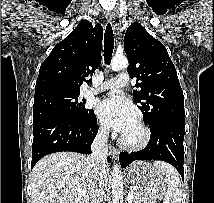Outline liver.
Listing matches in <instances>:
<instances>
[{"mask_svg":"<svg viewBox=\"0 0 214 203\" xmlns=\"http://www.w3.org/2000/svg\"><path fill=\"white\" fill-rule=\"evenodd\" d=\"M32 203H89L86 157L56 152L42 158L31 175Z\"/></svg>","mask_w":214,"mask_h":203,"instance_id":"obj_1","label":"liver"}]
</instances>
